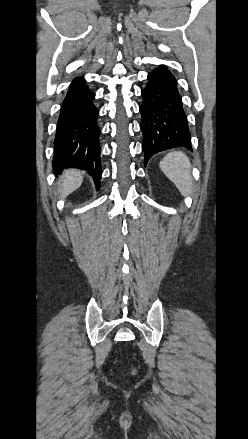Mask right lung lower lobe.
Here are the masks:
<instances>
[{
    "label": "right lung lower lobe",
    "mask_w": 248,
    "mask_h": 439,
    "mask_svg": "<svg viewBox=\"0 0 248 439\" xmlns=\"http://www.w3.org/2000/svg\"><path fill=\"white\" fill-rule=\"evenodd\" d=\"M95 94L85 80L75 78L62 103L54 140L53 166L57 173L64 167L86 170L100 185L99 111L93 101Z\"/></svg>",
    "instance_id": "1"
}]
</instances>
